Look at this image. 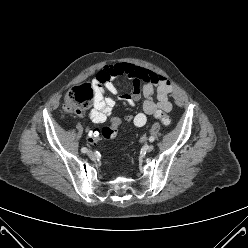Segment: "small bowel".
Instances as JSON below:
<instances>
[{
  "label": "small bowel",
  "mask_w": 248,
  "mask_h": 248,
  "mask_svg": "<svg viewBox=\"0 0 248 248\" xmlns=\"http://www.w3.org/2000/svg\"><path fill=\"white\" fill-rule=\"evenodd\" d=\"M118 77L132 79V93L124 97L129 106H133L142 96L145 98L142 111L134 116L132 122L136 127L144 126L148 115L171 110L169 95L174 89V84L167 76L129 63L108 64L97 73L93 81L96 94L89 117L94 123H103L110 115L115 102L106 97L104 91L106 89L117 95L119 91L115 80ZM154 93L156 101L153 99Z\"/></svg>",
  "instance_id": "c3829d8e"
}]
</instances>
